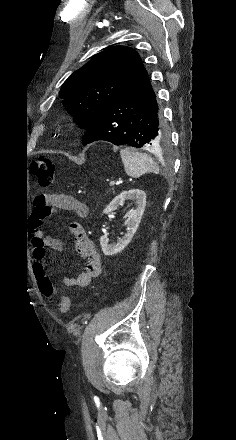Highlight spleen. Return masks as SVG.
Listing matches in <instances>:
<instances>
[{
  "label": "spleen",
  "instance_id": "3e777b00",
  "mask_svg": "<svg viewBox=\"0 0 236 440\" xmlns=\"http://www.w3.org/2000/svg\"><path fill=\"white\" fill-rule=\"evenodd\" d=\"M120 156L124 164L125 172L130 177L139 178L148 172H159L157 164L148 154L137 152L127 147L121 149Z\"/></svg>",
  "mask_w": 236,
  "mask_h": 440
}]
</instances>
